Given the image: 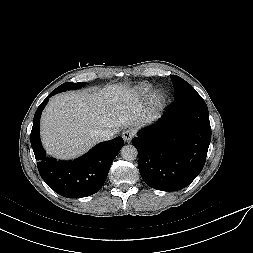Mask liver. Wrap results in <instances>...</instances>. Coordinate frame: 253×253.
Returning <instances> with one entry per match:
<instances>
[{"mask_svg": "<svg viewBox=\"0 0 253 253\" xmlns=\"http://www.w3.org/2000/svg\"><path fill=\"white\" fill-rule=\"evenodd\" d=\"M134 100V101H133ZM142 106L123 85L99 92H65L50 99L41 117L42 143L50 155L76 158L100 142L95 130L140 126L154 119L140 114Z\"/></svg>", "mask_w": 253, "mask_h": 253, "instance_id": "liver-1", "label": "liver"}]
</instances>
